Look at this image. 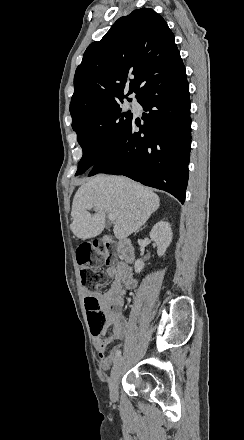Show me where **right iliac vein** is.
<instances>
[{"instance_id": "63e3f726", "label": "right iliac vein", "mask_w": 244, "mask_h": 440, "mask_svg": "<svg viewBox=\"0 0 244 440\" xmlns=\"http://www.w3.org/2000/svg\"><path fill=\"white\" fill-rule=\"evenodd\" d=\"M123 362H124L123 357H119L118 359H116L110 374L108 383H109L110 397L112 399H116L118 396V380L120 377V372Z\"/></svg>"}]
</instances>
